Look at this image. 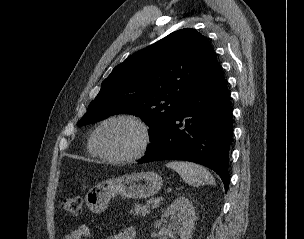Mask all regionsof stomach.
<instances>
[{
	"instance_id": "obj_1",
	"label": "stomach",
	"mask_w": 304,
	"mask_h": 239,
	"mask_svg": "<svg viewBox=\"0 0 304 239\" xmlns=\"http://www.w3.org/2000/svg\"><path fill=\"white\" fill-rule=\"evenodd\" d=\"M161 186L162 178L154 171L126 174L96 184L86 194V204L92 212L101 213L116 195L142 199L156 194Z\"/></svg>"
}]
</instances>
